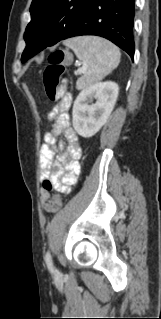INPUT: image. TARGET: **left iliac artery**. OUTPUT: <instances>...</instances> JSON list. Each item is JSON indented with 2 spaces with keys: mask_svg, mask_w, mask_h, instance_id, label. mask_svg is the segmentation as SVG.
I'll return each mask as SVG.
<instances>
[{
  "mask_svg": "<svg viewBox=\"0 0 161 319\" xmlns=\"http://www.w3.org/2000/svg\"><path fill=\"white\" fill-rule=\"evenodd\" d=\"M45 261H46L48 269L51 272H53V264H52V260H51V254L49 251L46 253Z\"/></svg>",
  "mask_w": 161,
  "mask_h": 319,
  "instance_id": "left-iliac-artery-1",
  "label": "left iliac artery"
}]
</instances>
